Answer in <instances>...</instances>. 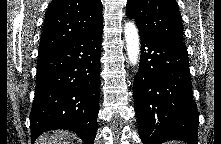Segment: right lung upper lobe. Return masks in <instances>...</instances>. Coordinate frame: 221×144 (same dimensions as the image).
Instances as JSON below:
<instances>
[{
    "mask_svg": "<svg viewBox=\"0 0 221 144\" xmlns=\"http://www.w3.org/2000/svg\"><path fill=\"white\" fill-rule=\"evenodd\" d=\"M102 22L101 0H53L45 15L38 55L98 30Z\"/></svg>",
    "mask_w": 221,
    "mask_h": 144,
    "instance_id": "cb5924a9",
    "label": "right lung upper lobe"
}]
</instances>
